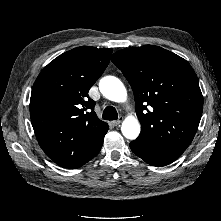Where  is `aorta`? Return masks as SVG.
<instances>
[{
  "mask_svg": "<svg viewBox=\"0 0 221 221\" xmlns=\"http://www.w3.org/2000/svg\"><path fill=\"white\" fill-rule=\"evenodd\" d=\"M100 92L107 99L114 102H125L127 99V91L124 84L114 76H106L100 80ZM141 131L139 121L135 117H127L121 126V132L127 139L134 140Z\"/></svg>",
  "mask_w": 221,
  "mask_h": 221,
  "instance_id": "1",
  "label": "aorta"
}]
</instances>
